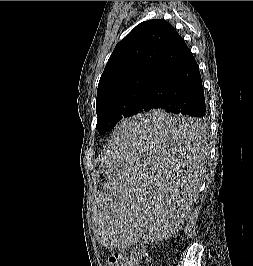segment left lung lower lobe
Instances as JSON below:
<instances>
[{"instance_id":"obj_1","label":"left lung lower lobe","mask_w":253,"mask_h":266,"mask_svg":"<svg viewBox=\"0 0 253 266\" xmlns=\"http://www.w3.org/2000/svg\"><path fill=\"white\" fill-rule=\"evenodd\" d=\"M152 109L195 119L148 125V133L175 139L195 138L202 133L206 105L201 76L191 50L177 32L162 53L145 95L143 112Z\"/></svg>"}]
</instances>
